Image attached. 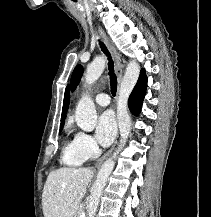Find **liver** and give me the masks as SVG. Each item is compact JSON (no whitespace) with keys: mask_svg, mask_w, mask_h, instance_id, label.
I'll return each mask as SVG.
<instances>
[{"mask_svg":"<svg viewBox=\"0 0 211 217\" xmlns=\"http://www.w3.org/2000/svg\"><path fill=\"white\" fill-rule=\"evenodd\" d=\"M93 175L88 168H60L50 172L42 193L44 217H74Z\"/></svg>","mask_w":211,"mask_h":217,"instance_id":"liver-1","label":"liver"}]
</instances>
